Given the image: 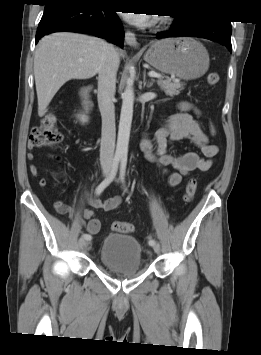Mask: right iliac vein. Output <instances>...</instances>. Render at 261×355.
I'll use <instances>...</instances> for the list:
<instances>
[{
    "label": "right iliac vein",
    "mask_w": 261,
    "mask_h": 355,
    "mask_svg": "<svg viewBox=\"0 0 261 355\" xmlns=\"http://www.w3.org/2000/svg\"><path fill=\"white\" fill-rule=\"evenodd\" d=\"M108 174H109V170H108V169H105V170L103 171V175H104V176H108ZM79 245H80L82 248L87 249V248L89 247V245H90V242H87V241H85L83 238H81V239L79 240Z\"/></svg>",
    "instance_id": "obj_1"
}]
</instances>
